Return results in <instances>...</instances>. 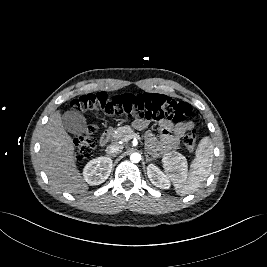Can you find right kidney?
<instances>
[{"label": "right kidney", "mask_w": 267, "mask_h": 267, "mask_svg": "<svg viewBox=\"0 0 267 267\" xmlns=\"http://www.w3.org/2000/svg\"><path fill=\"white\" fill-rule=\"evenodd\" d=\"M113 163L110 157H98L90 160L83 169L84 180L89 185H99L109 177Z\"/></svg>", "instance_id": "ca27d5eb"}]
</instances>
